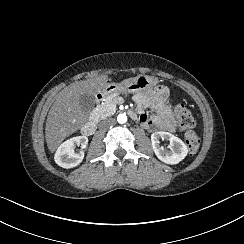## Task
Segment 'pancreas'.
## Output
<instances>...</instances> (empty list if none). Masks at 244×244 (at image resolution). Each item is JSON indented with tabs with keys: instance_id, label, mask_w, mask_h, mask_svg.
Masks as SVG:
<instances>
[{
	"instance_id": "1",
	"label": "pancreas",
	"mask_w": 244,
	"mask_h": 244,
	"mask_svg": "<svg viewBox=\"0 0 244 244\" xmlns=\"http://www.w3.org/2000/svg\"><path fill=\"white\" fill-rule=\"evenodd\" d=\"M114 106H115L114 99L107 98V100L102 105L98 106V108L102 109L105 112H108L110 108Z\"/></svg>"
}]
</instances>
